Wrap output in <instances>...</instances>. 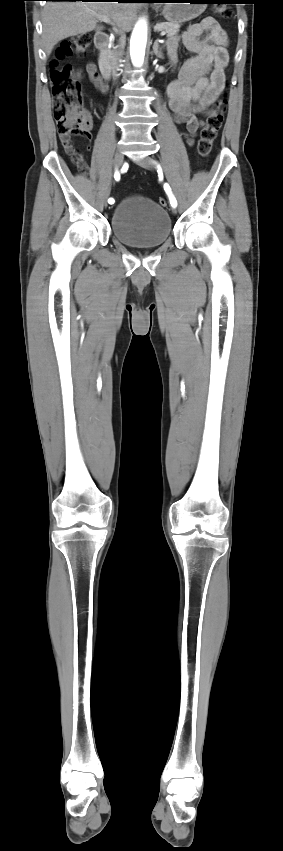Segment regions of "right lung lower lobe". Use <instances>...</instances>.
I'll return each instance as SVG.
<instances>
[{"instance_id":"1","label":"right lung lower lobe","mask_w":283,"mask_h":851,"mask_svg":"<svg viewBox=\"0 0 283 851\" xmlns=\"http://www.w3.org/2000/svg\"><path fill=\"white\" fill-rule=\"evenodd\" d=\"M47 1H92V0H47ZM118 2H148L149 0H117Z\"/></svg>"}]
</instances>
